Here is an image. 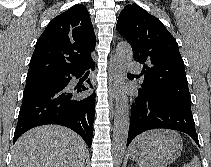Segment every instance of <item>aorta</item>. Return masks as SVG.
<instances>
[{
	"label": "aorta",
	"instance_id": "1",
	"mask_svg": "<svg viewBox=\"0 0 211 167\" xmlns=\"http://www.w3.org/2000/svg\"><path fill=\"white\" fill-rule=\"evenodd\" d=\"M132 58V48L127 42H120L116 47L115 67L121 83L126 79L127 67ZM112 155L116 165H120L126 149L129 131V104L126 90L120 88L116 97Z\"/></svg>",
	"mask_w": 211,
	"mask_h": 167
}]
</instances>
